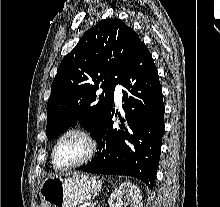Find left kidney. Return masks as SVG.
Segmentation results:
<instances>
[{"instance_id":"5707ae66","label":"left kidney","mask_w":220,"mask_h":207,"mask_svg":"<svg viewBox=\"0 0 220 207\" xmlns=\"http://www.w3.org/2000/svg\"><path fill=\"white\" fill-rule=\"evenodd\" d=\"M126 201L131 207H143L140 189L131 183H123L116 188L111 193L108 204L109 207H122Z\"/></svg>"}]
</instances>
